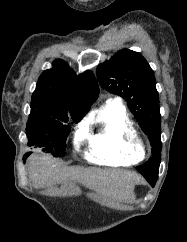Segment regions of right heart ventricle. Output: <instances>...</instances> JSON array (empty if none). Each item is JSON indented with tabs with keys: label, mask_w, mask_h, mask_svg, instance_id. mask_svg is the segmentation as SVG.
I'll return each mask as SVG.
<instances>
[{
	"label": "right heart ventricle",
	"mask_w": 187,
	"mask_h": 242,
	"mask_svg": "<svg viewBox=\"0 0 187 242\" xmlns=\"http://www.w3.org/2000/svg\"><path fill=\"white\" fill-rule=\"evenodd\" d=\"M136 135L125 107L120 102L108 101L90 119L85 158L105 166L136 164L143 159L130 145V139Z\"/></svg>",
	"instance_id": "e07e8e85"
}]
</instances>
